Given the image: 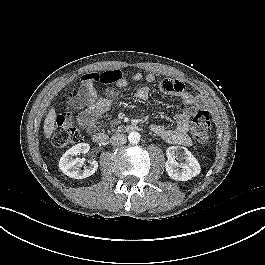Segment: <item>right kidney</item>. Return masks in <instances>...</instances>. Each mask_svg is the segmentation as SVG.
<instances>
[{
  "label": "right kidney",
  "instance_id": "1",
  "mask_svg": "<svg viewBox=\"0 0 265 265\" xmlns=\"http://www.w3.org/2000/svg\"><path fill=\"white\" fill-rule=\"evenodd\" d=\"M89 149L90 146L87 143H79L71 147L60 158L59 168L65 175L75 179H83L93 175L98 169V163L95 160L91 161L84 170H81L84 159L74 158V156L87 153Z\"/></svg>",
  "mask_w": 265,
  "mask_h": 265
}]
</instances>
